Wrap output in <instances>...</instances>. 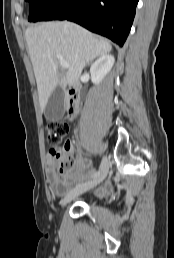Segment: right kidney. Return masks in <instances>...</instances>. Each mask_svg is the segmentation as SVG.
I'll list each match as a JSON object with an SVG mask.
<instances>
[{
	"label": "right kidney",
	"instance_id": "obj_1",
	"mask_svg": "<svg viewBox=\"0 0 174 258\" xmlns=\"http://www.w3.org/2000/svg\"><path fill=\"white\" fill-rule=\"evenodd\" d=\"M115 62L112 55L106 54L99 57L90 68L91 79L94 84H99L110 72Z\"/></svg>",
	"mask_w": 174,
	"mask_h": 258
}]
</instances>
